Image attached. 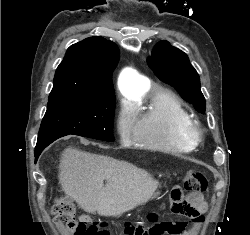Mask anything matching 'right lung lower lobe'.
I'll list each match as a JSON object with an SVG mask.
<instances>
[{
    "instance_id": "right-lung-lower-lobe-1",
    "label": "right lung lower lobe",
    "mask_w": 250,
    "mask_h": 235,
    "mask_svg": "<svg viewBox=\"0 0 250 235\" xmlns=\"http://www.w3.org/2000/svg\"><path fill=\"white\" fill-rule=\"evenodd\" d=\"M67 134L65 133H52V134H47L42 137H38L37 140V145L35 147V161H37L39 155L41 152L53 141L56 139L66 136Z\"/></svg>"
}]
</instances>
